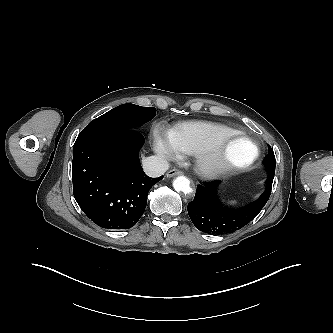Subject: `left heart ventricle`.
Masks as SVG:
<instances>
[{"instance_id": "1", "label": "left heart ventricle", "mask_w": 333, "mask_h": 333, "mask_svg": "<svg viewBox=\"0 0 333 333\" xmlns=\"http://www.w3.org/2000/svg\"><path fill=\"white\" fill-rule=\"evenodd\" d=\"M228 155L237 161L246 159L252 152V148L244 142H233L227 147Z\"/></svg>"}]
</instances>
